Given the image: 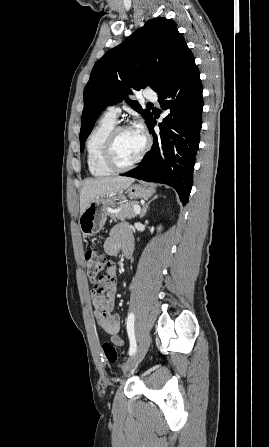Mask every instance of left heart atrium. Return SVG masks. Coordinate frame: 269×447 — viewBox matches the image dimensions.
Instances as JSON below:
<instances>
[{
  "label": "left heart atrium",
  "instance_id": "left-heart-atrium-1",
  "mask_svg": "<svg viewBox=\"0 0 269 447\" xmlns=\"http://www.w3.org/2000/svg\"><path fill=\"white\" fill-rule=\"evenodd\" d=\"M135 128H137L138 130H140L141 132H144V126L141 122H137L135 124Z\"/></svg>",
  "mask_w": 269,
  "mask_h": 447
}]
</instances>
